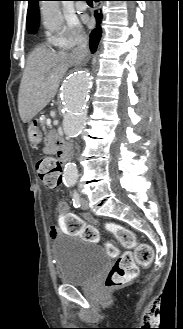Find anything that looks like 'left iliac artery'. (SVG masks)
<instances>
[{"label": "left iliac artery", "instance_id": "left-iliac-artery-1", "mask_svg": "<svg viewBox=\"0 0 183 329\" xmlns=\"http://www.w3.org/2000/svg\"><path fill=\"white\" fill-rule=\"evenodd\" d=\"M72 200L75 208H79L81 206V199L76 190L73 191Z\"/></svg>", "mask_w": 183, "mask_h": 329}]
</instances>
